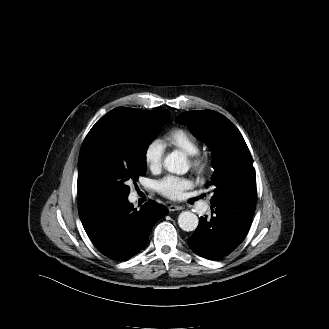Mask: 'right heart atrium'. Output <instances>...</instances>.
<instances>
[{
    "mask_svg": "<svg viewBox=\"0 0 329 329\" xmlns=\"http://www.w3.org/2000/svg\"><path fill=\"white\" fill-rule=\"evenodd\" d=\"M165 145L162 140L154 138L150 140L144 150V162L150 170H157L162 165Z\"/></svg>",
    "mask_w": 329,
    "mask_h": 329,
    "instance_id": "d8ad5b80",
    "label": "right heart atrium"
}]
</instances>
